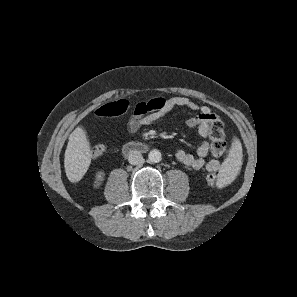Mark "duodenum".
<instances>
[{
	"label": "duodenum",
	"instance_id": "1",
	"mask_svg": "<svg viewBox=\"0 0 297 297\" xmlns=\"http://www.w3.org/2000/svg\"><path fill=\"white\" fill-rule=\"evenodd\" d=\"M147 149L146 145L141 142H128L123 146V153L125 155H133L136 153L145 152Z\"/></svg>",
	"mask_w": 297,
	"mask_h": 297
}]
</instances>
